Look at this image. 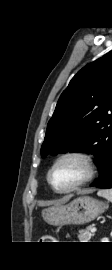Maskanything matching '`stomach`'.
<instances>
[{"mask_svg":"<svg viewBox=\"0 0 112 270\" xmlns=\"http://www.w3.org/2000/svg\"><path fill=\"white\" fill-rule=\"evenodd\" d=\"M108 208L103 202L82 196L70 203L57 204L42 210L43 219L51 225H83L93 221Z\"/></svg>","mask_w":112,"mask_h":270,"instance_id":"stomach-1","label":"stomach"}]
</instances>
